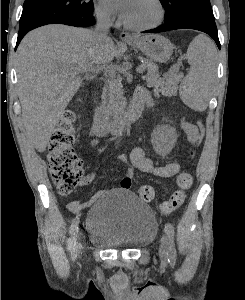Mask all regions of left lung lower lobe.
Returning a JSON list of instances; mask_svg holds the SVG:
<instances>
[{"instance_id":"1","label":"left lung lower lobe","mask_w":245,"mask_h":300,"mask_svg":"<svg viewBox=\"0 0 245 300\" xmlns=\"http://www.w3.org/2000/svg\"><path fill=\"white\" fill-rule=\"evenodd\" d=\"M195 29L210 35L216 42L218 48L220 49L221 45L218 38L217 27L215 24V19L193 14V13H181L176 16L174 19L165 22L161 27L144 31L143 33H159L169 30L176 29Z\"/></svg>"}]
</instances>
